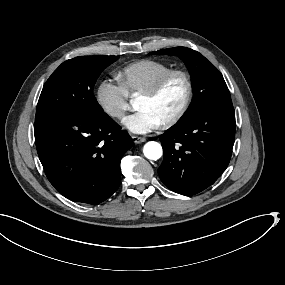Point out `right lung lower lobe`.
Returning a JSON list of instances; mask_svg holds the SVG:
<instances>
[{
  "instance_id": "right-lung-lower-lobe-1",
  "label": "right lung lower lobe",
  "mask_w": 285,
  "mask_h": 285,
  "mask_svg": "<svg viewBox=\"0 0 285 285\" xmlns=\"http://www.w3.org/2000/svg\"><path fill=\"white\" fill-rule=\"evenodd\" d=\"M34 134L48 180L69 200L94 205L118 189L120 161L133 142L105 114L57 112L35 120Z\"/></svg>"
}]
</instances>
